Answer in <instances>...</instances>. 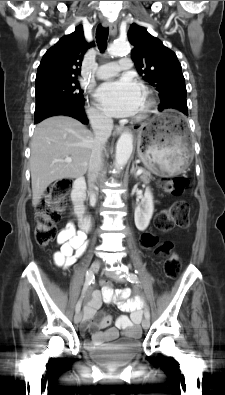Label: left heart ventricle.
Returning a JSON list of instances; mask_svg holds the SVG:
<instances>
[{"instance_id":"1","label":"left heart ventricle","mask_w":225,"mask_h":395,"mask_svg":"<svg viewBox=\"0 0 225 395\" xmlns=\"http://www.w3.org/2000/svg\"><path fill=\"white\" fill-rule=\"evenodd\" d=\"M143 106H144V95L142 96V101H141L138 112H140L142 110Z\"/></svg>"}]
</instances>
